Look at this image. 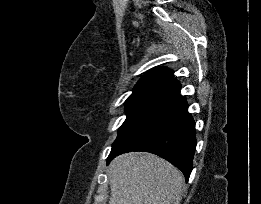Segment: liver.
Here are the masks:
<instances>
[{
    "label": "liver",
    "instance_id": "1",
    "mask_svg": "<svg viewBox=\"0 0 261 204\" xmlns=\"http://www.w3.org/2000/svg\"><path fill=\"white\" fill-rule=\"evenodd\" d=\"M109 204H177L184 187L182 173L150 153L116 157L109 171Z\"/></svg>",
    "mask_w": 261,
    "mask_h": 204
}]
</instances>
